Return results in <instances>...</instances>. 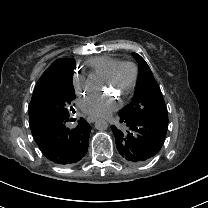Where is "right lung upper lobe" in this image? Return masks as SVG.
Instances as JSON below:
<instances>
[{"mask_svg": "<svg viewBox=\"0 0 208 208\" xmlns=\"http://www.w3.org/2000/svg\"><path fill=\"white\" fill-rule=\"evenodd\" d=\"M72 60L69 58H60L56 61H54L49 68L43 73V75L40 77V79L38 80L34 92H33V96L31 99V103H34L35 99H36V94L37 91L39 90V88L44 85L47 80L49 79V77L54 74L56 71L60 70L61 68L65 67L66 65H68L69 63H71Z\"/></svg>", "mask_w": 208, "mask_h": 208, "instance_id": "1", "label": "right lung upper lobe"}]
</instances>
